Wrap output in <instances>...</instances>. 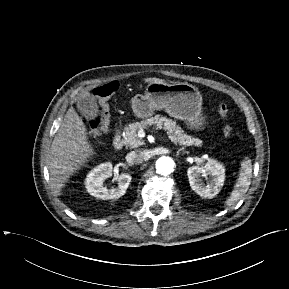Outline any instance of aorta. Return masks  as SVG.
I'll return each mask as SVG.
<instances>
[{"instance_id": "762f6f07", "label": "aorta", "mask_w": 289, "mask_h": 289, "mask_svg": "<svg viewBox=\"0 0 289 289\" xmlns=\"http://www.w3.org/2000/svg\"><path fill=\"white\" fill-rule=\"evenodd\" d=\"M175 163L171 157L162 156L156 161V172L167 176L174 171Z\"/></svg>"}]
</instances>
